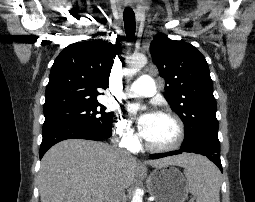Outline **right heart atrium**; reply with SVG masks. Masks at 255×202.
<instances>
[{
  "mask_svg": "<svg viewBox=\"0 0 255 202\" xmlns=\"http://www.w3.org/2000/svg\"><path fill=\"white\" fill-rule=\"evenodd\" d=\"M114 134L124 147L133 148L137 144L138 138L131 123L121 115L116 119Z\"/></svg>",
  "mask_w": 255,
  "mask_h": 202,
  "instance_id": "1",
  "label": "right heart atrium"
}]
</instances>
